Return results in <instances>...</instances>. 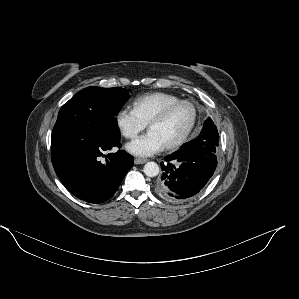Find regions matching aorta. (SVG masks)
<instances>
[{
	"label": "aorta",
	"instance_id": "1",
	"mask_svg": "<svg viewBox=\"0 0 299 299\" xmlns=\"http://www.w3.org/2000/svg\"><path fill=\"white\" fill-rule=\"evenodd\" d=\"M143 171L148 177H155L159 174V166L155 162H147L144 165Z\"/></svg>",
	"mask_w": 299,
	"mask_h": 299
}]
</instances>
